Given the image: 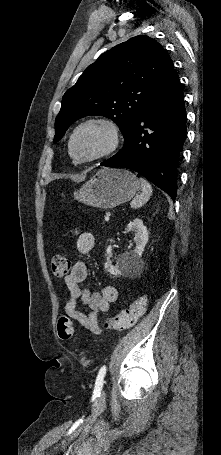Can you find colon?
I'll list each match as a JSON object with an SVG mask.
<instances>
[{"mask_svg":"<svg viewBox=\"0 0 221 455\" xmlns=\"http://www.w3.org/2000/svg\"><path fill=\"white\" fill-rule=\"evenodd\" d=\"M51 270L54 275L63 277L71 271V262L64 256H54L51 260ZM147 307V299L142 296L134 300L130 305L117 313L105 323L110 330H125L134 327L141 318ZM58 335L63 341H72L74 338V327L72 321L67 316H61L58 320Z\"/></svg>","mask_w":221,"mask_h":455,"instance_id":"1","label":"colon"}]
</instances>
